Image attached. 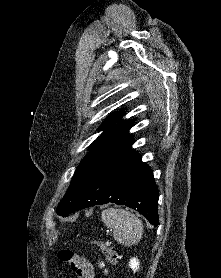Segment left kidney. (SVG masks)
<instances>
[{
  "mask_svg": "<svg viewBox=\"0 0 221 278\" xmlns=\"http://www.w3.org/2000/svg\"><path fill=\"white\" fill-rule=\"evenodd\" d=\"M140 262L137 258L130 259L129 266L130 268L136 272L139 269Z\"/></svg>",
  "mask_w": 221,
  "mask_h": 278,
  "instance_id": "5707ae66",
  "label": "left kidney"
}]
</instances>
